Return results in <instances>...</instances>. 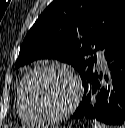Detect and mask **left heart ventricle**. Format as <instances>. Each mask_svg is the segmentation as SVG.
I'll return each instance as SVG.
<instances>
[{
	"label": "left heart ventricle",
	"mask_w": 125,
	"mask_h": 128,
	"mask_svg": "<svg viewBox=\"0 0 125 128\" xmlns=\"http://www.w3.org/2000/svg\"><path fill=\"white\" fill-rule=\"evenodd\" d=\"M73 96L71 81L58 72H39L30 79L27 87L30 106L39 113L60 112L70 104Z\"/></svg>",
	"instance_id": "1"
}]
</instances>
